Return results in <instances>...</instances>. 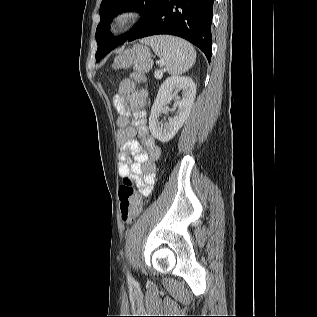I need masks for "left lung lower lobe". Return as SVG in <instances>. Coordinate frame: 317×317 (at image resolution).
Returning a JSON list of instances; mask_svg holds the SVG:
<instances>
[{
  "instance_id": "1",
  "label": "left lung lower lobe",
  "mask_w": 317,
  "mask_h": 317,
  "mask_svg": "<svg viewBox=\"0 0 317 317\" xmlns=\"http://www.w3.org/2000/svg\"><path fill=\"white\" fill-rule=\"evenodd\" d=\"M213 2L214 0H162L155 15L135 39L159 34L179 36L200 48L210 62ZM117 46L115 42L106 44L98 61Z\"/></svg>"
}]
</instances>
